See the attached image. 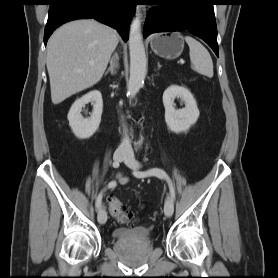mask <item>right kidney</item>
<instances>
[{"mask_svg":"<svg viewBox=\"0 0 278 278\" xmlns=\"http://www.w3.org/2000/svg\"><path fill=\"white\" fill-rule=\"evenodd\" d=\"M89 102L93 105V113L89 118L81 115L82 108ZM103 111V100L100 91L93 90L77 99L68 113L69 125L79 139L90 138L98 129Z\"/></svg>","mask_w":278,"mask_h":278,"instance_id":"obj_1","label":"right kidney"}]
</instances>
